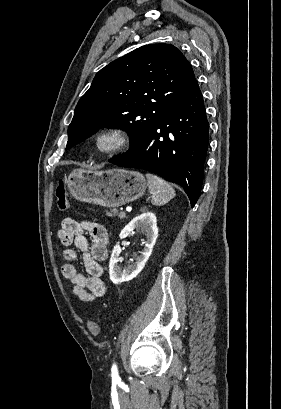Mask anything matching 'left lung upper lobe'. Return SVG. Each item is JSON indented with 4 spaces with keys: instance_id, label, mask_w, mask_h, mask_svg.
I'll use <instances>...</instances> for the list:
<instances>
[{
    "instance_id": "left-lung-upper-lobe-1",
    "label": "left lung upper lobe",
    "mask_w": 281,
    "mask_h": 409,
    "mask_svg": "<svg viewBox=\"0 0 281 409\" xmlns=\"http://www.w3.org/2000/svg\"><path fill=\"white\" fill-rule=\"evenodd\" d=\"M195 81L188 60L170 44L145 45L114 60L79 100L66 149L102 127L123 129L135 146Z\"/></svg>"
}]
</instances>
